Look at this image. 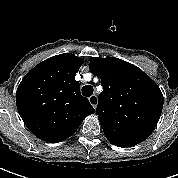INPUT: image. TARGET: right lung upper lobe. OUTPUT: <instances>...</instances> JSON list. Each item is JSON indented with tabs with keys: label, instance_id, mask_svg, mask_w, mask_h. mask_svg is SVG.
Instances as JSON below:
<instances>
[{
	"label": "right lung upper lobe",
	"instance_id": "obj_1",
	"mask_svg": "<svg viewBox=\"0 0 178 178\" xmlns=\"http://www.w3.org/2000/svg\"><path fill=\"white\" fill-rule=\"evenodd\" d=\"M83 60L64 53L46 59L22 79L16 92L18 112L39 139L61 142L95 112L75 80Z\"/></svg>",
	"mask_w": 178,
	"mask_h": 178
}]
</instances>
